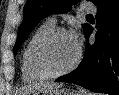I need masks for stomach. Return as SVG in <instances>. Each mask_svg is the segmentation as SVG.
Masks as SVG:
<instances>
[{"label": "stomach", "instance_id": "1", "mask_svg": "<svg viewBox=\"0 0 119 95\" xmlns=\"http://www.w3.org/2000/svg\"><path fill=\"white\" fill-rule=\"evenodd\" d=\"M29 95H85L81 91L73 90V89H51V90H38L30 93Z\"/></svg>", "mask_w": 119, "mask_h": 95}]
</instances>
